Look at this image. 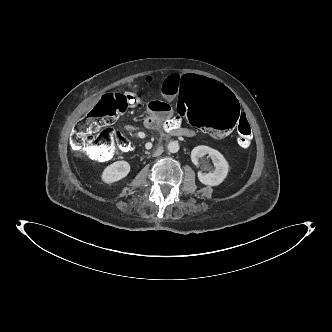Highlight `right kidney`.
Segmentation results:
<instances>
[{
    "mask_svg": "<svg viewBox=\"0 0 332 332\" xmlns=\"http://www.w3.org/2000/svg\"><path fill=\"white\" fill-rule=\"evenodd\" d=\"M130 170L131 166L127 161H116L103 170L101 180L104 183L112 184L126 177Z\"/></svg>",
    "mask_w": 332,
    "mask_h": 332,
    "instance_id": "1",
    "label": "right kidney"
}]
</instances>
